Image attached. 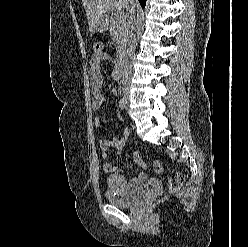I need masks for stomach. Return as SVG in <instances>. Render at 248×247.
Segmentation results:
<instances>
[{
  "instance_id": "0dacf381",
  "label": "stomach",
  "mask_w": 248,
  "mask_h": 247,
  "mask_svg": "<svg viewBox=\"0 0 248 247\" xmlns=\"http://www.w3.org/2000/svg\"><path fill=\"white\" fill-rule=\"evenodd\" d=\"M108 26H109V19L106 15H104L98 20L94 29L99 33H104L108 29Z\"/></svg>"
}]
</instances>
